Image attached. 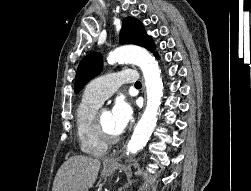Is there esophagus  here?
Returning a JSON list of instances; mask_svg holds the SVG:
<instances>
[{
	"label": "esophagus",
	"mask_w": 251,
	"mask_h": 191,
	"mask_svg": "<svg viewBox=\"0 0 251 191\" xmlns=\"http://www.w3.org/2000/svg\"><path fill=\"white\" fill-rule=\"evenodd\" d=\"M142 91L145 92V85L143 83V88H142ZM118 161V158H110L106 161V164L108 166H114L116 164V162Z\"/></svg>",
	"instance_id": "esophagus-1"
}]
</instances>
